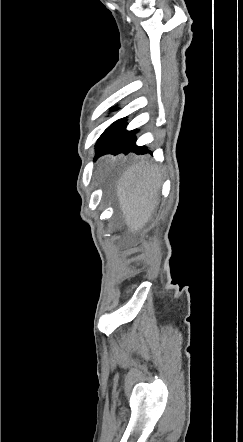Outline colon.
Instances as JSON below:
<instances>
[{"label": "colon", "instance_id": "1", "mask_svg": "<svg viewBox=\"0 0 243 442\" xmlns=\"http://www.w3.org/2000/svg\"><path fill=\"white\" fill-rule=\"evenodd\" d=\"M127 260L130 266H138L139 264H143V262H148L150 257L148 255L130 254Z\"/></svg>", "mask_w": 243, "mask_h": 442}]
</instances>
